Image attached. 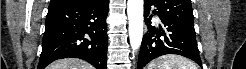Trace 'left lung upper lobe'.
I'll list each match as a JSON object with an SVG mask.
<instances>
[{
    "mask_svg": "<svg viewBox=\"0 0 246 69\" xmlns=\"http://www.w3.org/2000/svg\"><path fill=\"white\" fill-rule=\"evenodd\" d=\"M157 10L174 21L194 25L191 0H151Z\"/></svg>",
    "mask_w": 246,
    "mask_h": 69,
    "instance_id": "5c2ea615",
    "label": "left lung upper lobe"
}]
</instances>
